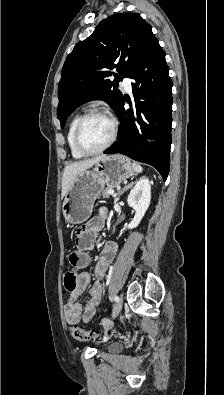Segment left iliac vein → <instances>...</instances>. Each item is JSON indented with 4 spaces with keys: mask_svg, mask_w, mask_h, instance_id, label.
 I'll return each instance as SVG.
<instances>
[{
    "mask_svg": "<svg viewBox=\"0 0 224 395\" xmlns=\"http://www.w3.org/2000/svg\"><path fill=\"white\" fill-rule=\"evenodd\" d=\"M118 298H119V300H118V302H116L114 309H113V316H112L113 318H115L119 314V312L121 311L122 306H123L122 294H120V296ZM107 324H110V321Z\"/></svg>",
    "mask_w": 224,
    "mask_h": 395,
    "instance_id": "obj_1",
    "label": "left iliac vein"
}]
</instances>
